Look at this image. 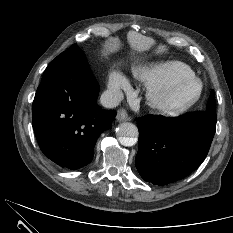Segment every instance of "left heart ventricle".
<instances>
[{"instance_id": "b2bd125f", "label": "left heart ventricle", "mask_w": 233, "mask_h": 233, "mask_svg": "<svg viewBox=\"0 0 233 233\" xmlns=\"http://www.w3.org/2000/svg\"><path fill=\"white\" fill-rule=\"evenodd\" d=\"M197 91V85L194 83H187L180 86L174 93L168 96V98L172 101H184L192 96Z\"/></svg>"}]
</instances>
